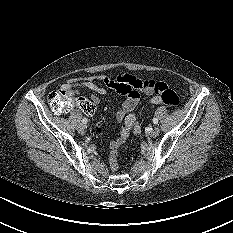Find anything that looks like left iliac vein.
Returning <instances> with one entry per match:
<instances>
[{
  "instance_id": "left-iliac-vein-1",
  "label": "left iliac vein",
  "mask_w": 233,
  "mask_h": 233,
  "mask_svg": "<svg viewBox=\"0 0 233 233\" xmlns=\"http://www.w3.org/2000/svg\"><path fill=\"white\" fill-rule=\"evenodd\" d=\"M160 129L158 127H154L151 131H150V136L151 137H157L159 135Z\"/></svg>"
}]
</instances>
